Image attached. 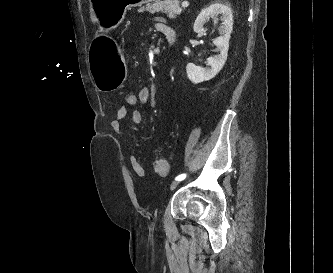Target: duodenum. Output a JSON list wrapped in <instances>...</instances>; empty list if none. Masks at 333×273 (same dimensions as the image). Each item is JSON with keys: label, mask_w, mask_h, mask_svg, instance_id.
Returning <instances> with one entry per match:
<instances>
[{"label": "duodenum", "mask_w": 333, "mask_h": 273, "mask_svg": "<svg viewBox=\"0 0 333 273\" xmlns=\"http://www.w3.org/2000/svg\"><path fill=\"white\" fill-rule=\"evenodd\" d=\"M164 34H165V37H166V39L168 41V44L170 46L174 45L175 38H176L175 31L172 28H165Z\"/></svg>", "instance_id": "1"}]
</instances>
